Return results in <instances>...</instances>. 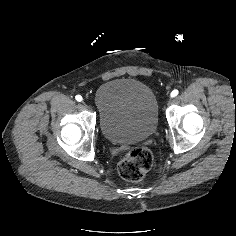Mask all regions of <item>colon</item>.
I'll use <instances>...</instances> for the list:
<instances>
[{
  "mask_svg": "<svg viewBox=\"0 0 236 236\" xmlns=\"http://www.w3.org/2000/svg\"><path fill=\"white\" fill-rule=\"evenodd\" d=\"M153 163L151 151L145 147L131 150L118 163L119 175L129 182L142 180Z\"/></svg>",
  "mask_w": 236,
  "mask_h": 236,
  "instance_id": "colon-1",
  "label": "colon"
}]
</instances>
